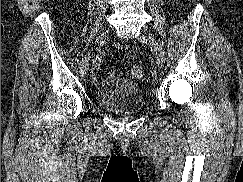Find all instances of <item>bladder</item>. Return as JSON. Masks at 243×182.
<instances>
[{"mask_svg": "<svg viewBox=\"0 0 243 182\" xmlns=\"http://www.w3.org/2000/svg\"><path fill=\"white\" fill-rule=\"evenodd\" d=\"M95 102L101 109L118 115L138 114L145 108L143 97L134 92L119 94L100 90L95 93Z\"/></svg>", "mask_w": 243, "mask_h": 182, "instance_id": "1", "label": "bladder"}]
</instances>
